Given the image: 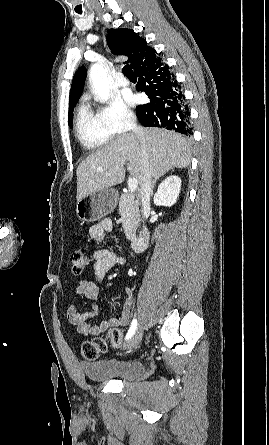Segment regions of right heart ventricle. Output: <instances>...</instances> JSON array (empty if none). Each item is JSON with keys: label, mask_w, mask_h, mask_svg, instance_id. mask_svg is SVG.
I'll return each instance as SVG.
<instances>
[{"label": "right heart ventricle", "mask_w": 269, "mask_h": 445, "mask_svg": "<svg viewBox=\"0 0 269 445\" xmlns=\"http://www.w3.org/2000/svg\"><path fill=\"white\" fill-rule=\"evenodd\" d=\"M75 133L80 144L89 150L107 144L113 136L98 113L92 111L85 102H81L76 110Z\"/></svg>", "instance_id": "right-heart-ventricle-1"}]
</instances>
